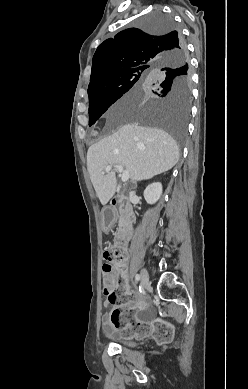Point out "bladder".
I'll return each mask as SVG.
<instances>
[{"mask_svg": "<svg viewBox=\"0 0 248 389\" xmlns=\"http://www.w3.org/2000/svg\"><path fill=\"white\" fill-rule=\"evenodd\" d=\"M133 337V336H131ZM131 337L121 338L118 334L114 333L108 336V341L110 342H116L122 346L126 347H134L136 345V342L131 339Z\"/></svg>", "mask_w": 248, "mask_h": 389, "instance_id": "bladder-1", "label": "bladder"}]
</instances>
